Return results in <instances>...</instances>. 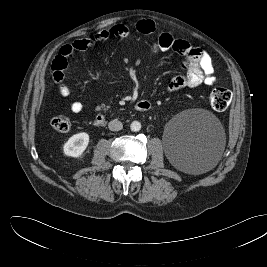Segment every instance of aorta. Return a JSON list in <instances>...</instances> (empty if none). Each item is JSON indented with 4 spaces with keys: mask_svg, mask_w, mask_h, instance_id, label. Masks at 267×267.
<instances>
[{
    "mask_svg": "<svg viewBox=\"0 0 267 267\" xmlns=\"http://www.w3.org/2000/svg\"><path fill=\"white\" fill-rule=\"evenodd\" d=\"M131 131L138 132L141 129V123L139 121H133L130 125Z\"/></svg>",
    "mask_w": 267,
    "mask_h": 267,
    "instance_id": "obj_1",
    "label": "aorta"
}]
</instances>
